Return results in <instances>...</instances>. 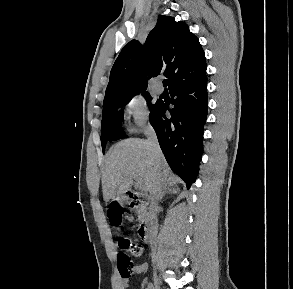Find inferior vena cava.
Wrapping results in <instances>:
<instances>
[{
    "label": "inferior vena cava",
    "instance_id": "602c4592",
    "mask_svg": "<svg viewBox=\"0 0 293 289\" xmlns=\"http://www.w3.org/2000/svg\"><path fill=\"white\" fill-rule=\"evenodd\" d=\"M145 134L147 136V142L149 146L151 147L152 151L154 153H160V147L158 143V139L156 136V133L154 129L151 126H148L146 128ZM164 187V180L162 178H159L152 186L150 190V197H149V213L150 217L152 220L153 228H154V233L157 230V216H156V207L158 204V200L160 199V195L162 193V189ZM156 241L151 242V250H152V257H155L156 253Z\"/></svg>",
    "mask_w": 293,
    "mask_h": 289
}]
</instances>
